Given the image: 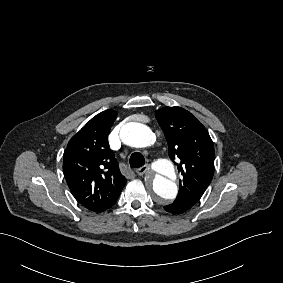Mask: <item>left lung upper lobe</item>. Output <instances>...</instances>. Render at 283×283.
I'll use <instances>...</instances> for the list:
<instances>
[{"label": "left lung upper lobe", "mask_w": 283, "mask_h": 283, "mask_svg": "<svg viewBox=\"0 0 283 283\" xmlns=\"http://www.w3.org/2000/svg\"><path fill=\"white\" fill-rule=\"evenodd\" d=\"M156 119L169 145V156L180 159V180L176 200H200L214 174V146L206 128L190 112L180 107L156 111Z\"/></svg>", "instance_id": "5c2ea615"}]
</instances>
